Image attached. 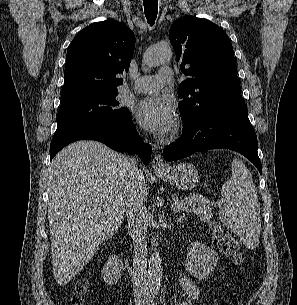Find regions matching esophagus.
<instances>
[{
    "label": "esophagus",
    "mask_w": 297,
    "mask_h": 305,
    "mask_svg": "<svg viewBox=\"0 0 297 305\" xmlns=\"http://www.w3.org/2000/svg\"><path fill=\"white\" fill-rule=\"evenodd\" d=\"M152 168L155 171H161L165 168V164L163 162V158L160 154H157L154 156L153 160H152Z\"/></svg>",
    "instance_id": "esophagus-1"
}]
</instances>
